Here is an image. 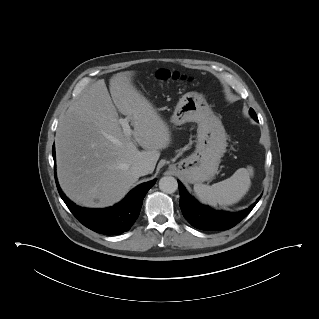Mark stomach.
Segmentation results:
<instances>
[{"label": "stomach", "instance_id": "obj_1", "mask_svg": "<svg viewBox=\"0 0 319 319\" xmlns=\"http://www.w3.org/2000/svg\"><path fill=\"white\" fill-rule=\"evenodd\" d=\"M171 122L175 125L196 122L198 128L195 151L170 168L188 183H202L212 179L226 151L227 136L220 118L205 97L198 92L184 94L175 107Z\"/></svg>", "mask_w": 319, "mask_h": 319}]
</instances>
